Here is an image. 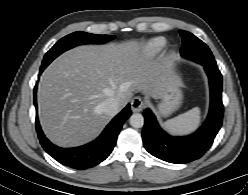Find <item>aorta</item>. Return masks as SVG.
Wrapping results in <instances>:
<instances>
[{
    "instance_id": "1",
    "label": "aorta",
    "mask_w": 248,
    "mask_h": 195,
    "mask_svg": "<svg viewBox=\"0 0 248 195\" xmlns=\"http://www.w3.org/2000/svg\"><path fill=\"white\" fill-rule=\"evenodd\" d=\"M129 121L130 125L134 128H141L144 125V117L140 113L132 114Z\"/></svg>"
}]
</instances>
